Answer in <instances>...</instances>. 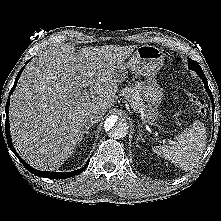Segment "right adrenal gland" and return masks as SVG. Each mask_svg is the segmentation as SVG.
<instances>
[{"instance_id":"right-adrenal-gland-1","label":"right adrenal gland","mask_w":221,"mask_h":221,"mask_svg":"<svg viewBox=\"0 0 221 221\" xmlns=\"http://www.w3.org/2000/svg\"><path fill=\"white\" fill-rule=\"evenodd\" d=\"M91 127H93V124H88V125L85 127V130H84L83 133H82V136H81V140H80V141L83 140L84 135H86V138H88V136H89V130H90Z\"/></svg>"}]
</instances>
